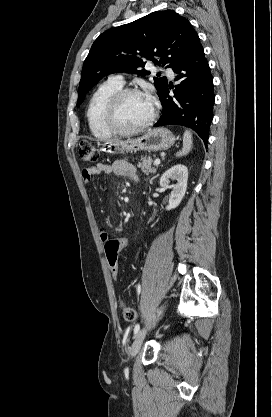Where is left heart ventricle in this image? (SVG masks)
I'll return each mask as SVG.
<instances>
[{
    "label": "left heart ventricle",
    "instance_id": "b2bd125f",
    "mask_svg": "<svg viewBox=\"0 0 272 417\" xmlns=\"http://www.w3.org/2000/svg\"><path fill=\"white\" fill-rule=\"evenodd\" d=\"M151 114L152 103L147 97L131 95L122 102L117 123L123 128H134L146 122Z\"/></svg>",
    "mask_w": 272,
    "mask_h": 417
}]
</instances>
